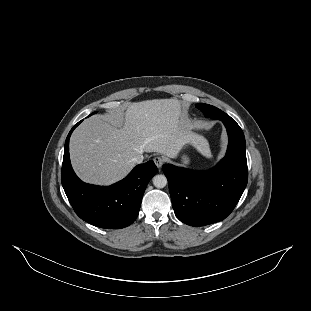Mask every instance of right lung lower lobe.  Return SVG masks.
Segmentation results:
<instances>
[{"instance_id": "98d812e1", "label": "right lung lower lobe", "mask_w": 311, "mask_h": 311, "mask_svg": "<svg viewBox=\"0 0 311 311\" xmlns=\"http://www.w3.org/2000/svg\"><path fill=\"white\" fill-rule=\"evenodd\" d=\"M69 132L64 149L61 181L76 214L84 221L106 229L124 228L138 216L142 197L157 167L153 161L136 166L123 180L111 186L82 182L74 173L69 157Z\"/></svg>"}]
</instances>
